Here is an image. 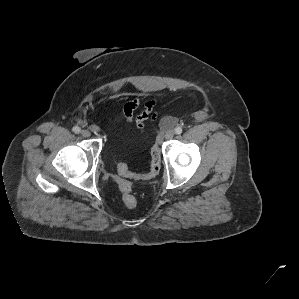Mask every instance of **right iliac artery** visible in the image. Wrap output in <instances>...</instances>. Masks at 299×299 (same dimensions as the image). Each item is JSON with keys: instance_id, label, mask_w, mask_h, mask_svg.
<instances>
[{"instance_id": "obj_1", "label": "right iliac artery", "mask_w": 299, "mask_h": 299, "mask_svg": "<svg viewBox=\"0 0 299 299\" xmlns=\"http://www.w3.org/2000/svg\"><path fill=\"white\" fill-rule=\"evenodd\" d=\"M72 130H73L74 133H80V131H81V129L77 126L73 127Z\"/></svg>"}]
</instances>
